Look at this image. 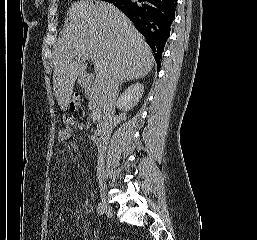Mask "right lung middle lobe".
<instances>
[{"instance_id": "obj_1", "label": "right lung middle lobe", "mask_w": 257, "mask_h": 240, "mask_svg": "<svg viewBox=\"0 0 257 240\" xmlns=\"http://www.w3.org/2000/svg\"><path fill=\"white\" fill-rule=\"evenodd\" d=\"M105 1L111 2V0H105Z\"/></svg>"}]
</instances>
